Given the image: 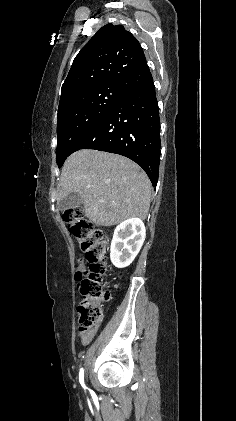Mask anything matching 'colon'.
I'll use <instances>...</instances> for the list:
<instances>
[{"label": "colon", "mask_w": 236, "mask_h": 421, "mask_svg": "<svg viewBox=\"0 0 236 421\" xmlns=\"http://www.w3.org/2000/svg\"><path fill=\"white\" fill-rule=\"evenodd\" d=\"M63 218L89 263V268L80 265L75 274L78 291L83 298L77 307L81 335L98 327L103 318L102 303L111 298V292L104 282L109 271L106 263L108 240L101 230L85 218L81 208L66 210Z\"/></svg>", "instance_id": "obj_1"}]
</instances>
